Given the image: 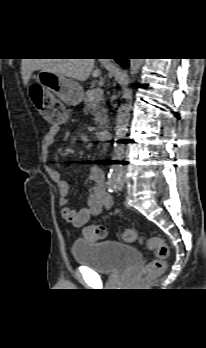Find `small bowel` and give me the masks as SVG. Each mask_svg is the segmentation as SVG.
<instances>
[{"mask_svg":"<svg viewBox=\"0 0 206 348\" xmlns=\"http://www.w3.org/2000/svg\"><path fill=\"white\" fill-rule=\"evenodd\" d=\"M59 127L51 126L42 139V156L45 162L46 171L53 182L56 183L59 191V202L63 206V218L74 226L84 225L91 216L100 214L103 210L112 207V198L107 193L104 184V174L97 165L89 167L87 181L94 184L93 189L88 195L87 205L81 210H73L66 207L70 186L68 182L61 178L60 173L48 163L49 150L57 140Z\"/></svg>","mask_w":206,"mask_h":348,"instance_id":"c3829d8e","label":"small bowel"}]
</instances>
